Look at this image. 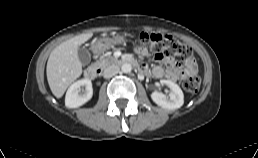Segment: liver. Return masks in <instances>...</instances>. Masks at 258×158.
Returning <instances> with one entry per match:
<instances>
[{
  "label": "liver",
  "instance_id": "liver-1",
  "mask_svg": "<svg viewBox=\"0 0 258 158\" xmlns=\"http://www.w3.org/2000/svg\"><path fill=\"white\" fill-rule=\"evenodd\" d=\"M93 33L77 35L62 42L51 52L46 74L53 95L61 98L68 86L82 74V63L78 58L79 46L88 41Z\"/></svg>",
  "mask_w": 258,
  "mask_h": 158
}]
</instances>
